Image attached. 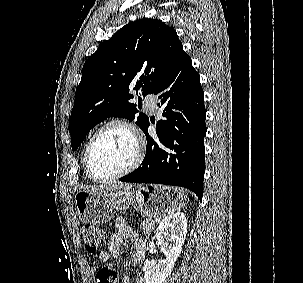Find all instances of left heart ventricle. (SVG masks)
<instances>
[{
  "instance_id": "b2bd125f",
  "label": "left heart ventricle",
  "mask_w": 303,
  "mask_h": 283,
  "mask_svg": "<svg viewBox=\"0 0 303 283\" xmlns=\"http://www.w3.org/2000/svg\"><path fill=\"white\" fill-rule=\"evenodd\" d=\"M135 151V142L126 129L110 127L94 142L90 154L92 169L100 177L117 173L132 162Z\"/></svg>"
}]
</instances>
